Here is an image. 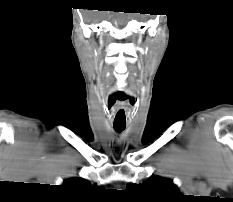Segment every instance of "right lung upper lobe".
I'll list each match as a JSON object with an SVG mask.
<instances>
[{
    "label": "right lung upper lobe",
    "instance_id": "right-lung-upper-lobe-1",
    "mask_svg": "<svg viewBox=\"0 0 233 202\" xmlns=\"http://www.w3.org/2000/svg\"><path fill=\"white\" fill-rule=\"evenodd\" d=\"M63 186L86 187V186H91V184L81 178H73V179L64 181Z\"/></svg>",
    "mask_w": 233,
    "mask_h": 202
}]
</instances>
